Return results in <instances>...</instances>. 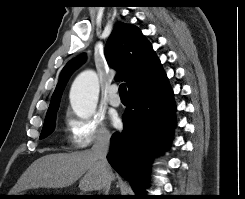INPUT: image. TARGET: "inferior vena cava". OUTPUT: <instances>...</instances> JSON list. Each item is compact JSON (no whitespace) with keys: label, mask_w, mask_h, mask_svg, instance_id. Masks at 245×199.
Masks as SVG:
<instances>
[{"label":"inferior vena cava","mask_w":245,"mask_h":199,"mask_svg":"<svg viewBox=\"0 0 245 199\" xmlns=\"http://www.w3.org/2000/svg\"><path fill=\"white\" fill-rule=\"evenodd\" d=\"M110 138L111 135L108 131H100L92 147V152L97 159V165L101 172L104 195H108L112 176L111 167L106 158L109 151Z\"/></svg>","instance_id":"obj_1"}]
</instances>
